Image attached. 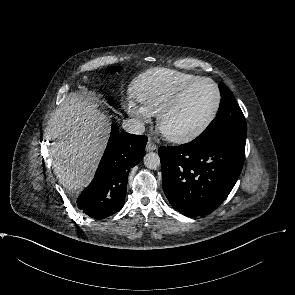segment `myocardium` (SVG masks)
<instances>
[{
	"label": "myocardium",
	"instance_id": "1",
	"mask_svg": "<svg viewBox=\"0 0 295 295\" xmlns=\"http://www.w3.org/2000/svg\"><path fill=\"white\" fill-rule=\"evenodd\" d=\"M209 82L213 85V87L216 90L217 93V100L214 107V110L208 120L197 130L193 131L190 134L184 135V136H169L163 132V123L165 118L172 113L182 102L186 94L198 83L200 82ZM222 104V93L220 90L219 85L211 78L209 77H197L193 81L189 82L185 86H183L175 95L174 97L161 109V111L158 113L157 118V127L159 131L172 143L176 144H187L190 143L196 139H198L200 136H202L215 122Z\"/></svg>",
	"mask_w": 295,
	"mask_h": 295
}]
</instances>
